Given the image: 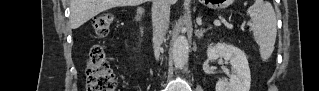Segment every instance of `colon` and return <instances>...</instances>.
Segmentation results:
<instances>
[{
  "mask_svg": "<svg viewBox=\"0 0 319 91\" xmlns=\"http://www.w3.org/2000/svg\"><path fill=\"white\" fill-rule=\"evenodd\" d=\"M113 21L114 15L110 12L96 15L92 20L95 34L99 37L107 35ZM86 74L88 91H115L117 89L116 78L100 45H93L88 52Z\"/></svg>",
  "mask_w": 319,
  "mask_h": 91,
  "instance_id": "obj_1",
  "label": "colon"
}]
</instances>
